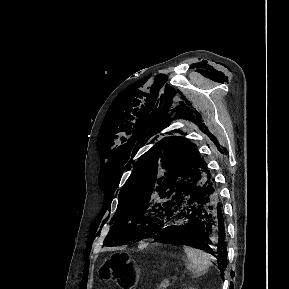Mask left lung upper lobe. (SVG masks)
I'll return each mask as SVG.
<instances>
[{"mask_svg": "<svg viewBox=\"0 0 289 289\" xmlns=\"http://www.w3.org/2000/svg\"><path fill=\"white\" fill-rule=\"evenodd\" d=\"M209 174L195 144L181 137L164 138L140 157L121 189L105 245L119 246L152 233L180 189Z\"/></svg>", "mask_w": 289, "mask_h": 289, "instance_id": "obj_1", "label": "left lung upper lobe"}]
</instances>
